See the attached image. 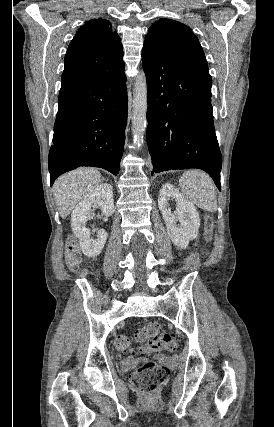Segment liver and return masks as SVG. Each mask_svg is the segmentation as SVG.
I'll return each mask as SVG.
<instances>
[{"label": "liver", "mask_w": 274, "mask_h": 427, "mask_svg": "<svg viewBox=\"0 0 274 427\" xmlns=\"http://www.w3.org/2000/svg\"><path fill=\"white\" fill-rule=\"evenodd\" d=\"M102 182L100 172L94 168H78L60 176L53 184V196L61 217H67L83 196Z\"/></svg>", "instance_id": "6515ba94"}]
</instances>
